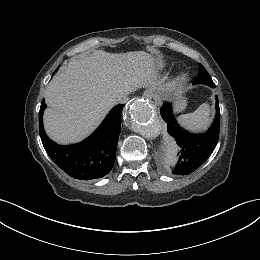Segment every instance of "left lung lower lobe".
<instances>
[{"instance_id":"0a47b994","label":"left lung lower lobe","mask_w":260,"mask_h":260,"mask_svg":"<svg viewBox=\"0 0 260 260\" xmlns=\"http://www.w3.org/2000/svg\"><path fill=\"white\" fill-rule=\"evenodd\" d=\"M215 86H213L214 88ZM216 115L213 126L205 133L193 134L181 128L177 123L173 112L172 104L166 102L160 109L161 117L167 123L169 135L176 141L179 152L178 162L172 168L175 174L188 175L198 169L214 151L220 128V110L218 98H216Z\"/></svg>"}]
</instances>
